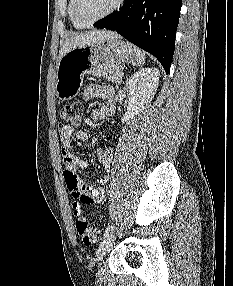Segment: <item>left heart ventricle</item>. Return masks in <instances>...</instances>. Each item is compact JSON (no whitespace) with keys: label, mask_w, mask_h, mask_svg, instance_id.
I'll return each mask as SVG.
<instances>
[{"label":"left heart ventricle","mask_w":233,"mask_h":286,"mask_svg":"<svg viewBox=\"0 0 233 286\" xmlns=\"http://www.w3.org/2000/svg\"><path fill=\"white\" fill-rule=\"evenodd\" d=\"M116 0H79V15L84 21H90L108 11Z\"/></svg>","instance_id":"1"}]
</instances>
